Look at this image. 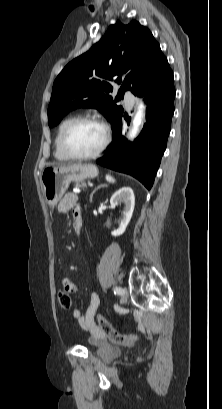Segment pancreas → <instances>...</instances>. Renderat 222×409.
Instances as JSON below:
<instances>
[{
  "mask_svg": "<svg viewBox=\"0 0 222 409\" xmlns=\"http://www.w3.org/2000/svg\"><path fill=\"white\" fill-rule=\"evenodd\" d=\"M78 188H86L87 187V183L82 182L81 184L77 185Z\"/></svg>",
  "mask_w": 222,
  "mask_h": 409,
  "instance_id": "pancreas-1",
  "label": "pancreas"
}]
</instances>
